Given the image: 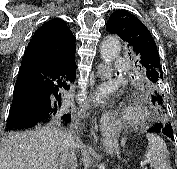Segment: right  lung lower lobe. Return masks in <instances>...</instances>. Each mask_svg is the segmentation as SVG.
Instances as JSON below:
<instances>
[{"mask_svg":"<svg viewBox=\"0 0 177 169\" xmlns=\"http://www.w3.org/2000/svg\"><path fill=\"white\" fill-rule=\"evenodd\" d=\"M76 76L75 63L69 66L24 61L13 92L6 130H23L41 124H67L64 90Z\"/></svg>","mask_w":177,"mask_h":169,"instance_id":"1","label":"right lung lower lobe"}]
</instances>
